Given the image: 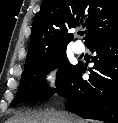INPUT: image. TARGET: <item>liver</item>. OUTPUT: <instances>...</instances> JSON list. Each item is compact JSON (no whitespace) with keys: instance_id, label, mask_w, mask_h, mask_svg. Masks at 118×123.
I'll use <instances>...</instances> for the list:
<instances>
[{"instance_id":"6515ba94","label":"liver","mask_w":118,"mask_h":123,"mask_svg":"<svg viewBox=\"0 0 118 123\" xmlns=\"http://www.w3.org/2000/svg\"><path fill=\"white\" fill-rule=\"evenodd\" d=\"M6 123H85V121L65 111L50 110L17 115L8 119Z\"/></svg>"}]
</instances>
